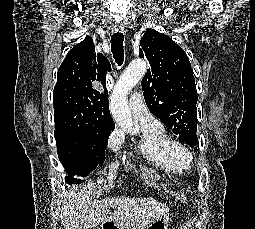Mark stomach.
Here are the masks:
<instances>
[{"label":"stomach","mask_w":255,"mask_h":229,"mask_svg":"<svg viewBox=\"0 0 255 229\" xmlns=\"http://www.w3.org/2000/svg\"><path fill=\"white\" fill-rule=\"evenodd\" d=\"M112 226V229H123L120 226L115 225L112 222H104L102 223L101 229H106V226ZM169 225V215H162L157 219L153 220L150 224H148L144 229H168Z\"/></svg>","instance_id":"stomach-1"}]
</instances>
